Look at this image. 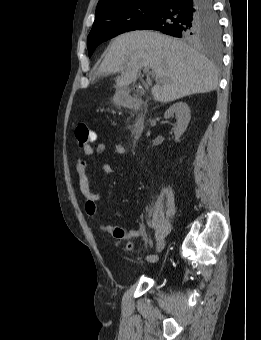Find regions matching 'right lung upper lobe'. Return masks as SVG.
I'll use <instances>...</instances> for the list:
<instances>
[{
	"mask_svg": "<svg viewBox=\"0 0 261 340\" xmlns=\"http://www.w3.org/2000/svg\"><path fill=\"white\" fill-rule=\"evenodd\" d=\"M137 1H147V0H99L97 8H96V15L95 18L100 16L107 10L128 5L133 2Z\"/></svg>",
	"mask_w": 261,
	"mask_h": 340,
	"instance_id": "right-lung-upper-lobe-1",
	"label": "right lung upper lobe"
}]
</instances>
